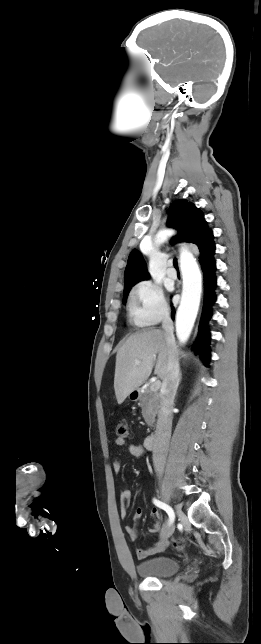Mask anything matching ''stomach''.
I'll list each match as a JSON object with an SVG mask.
<instances>
[{
    "label": "stomach",
    "instance_id": "1",
    "mask_svg": "<svg viewBox=\"0 0 261 644\" xmlns=\"http://www.w3.org/2000/svg\"><path fill=\"white\" fill-rule=\"evenodd\" d=\"M136 395V396H135ZM138 392L136 390L132 391L128 396L131 400L135 401L137 399Z\"/></svg>",
    "mask_w": 261,
    "mask_h": 644
}]
</instances>
